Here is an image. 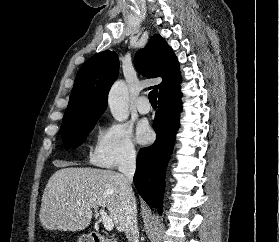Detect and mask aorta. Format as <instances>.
<instances>
[{
    "mask_svg": "<svg viewBox=\"0 0 279 242\" xmlns=\"http://www.w3.org/2000/svg\"><path fill=\"white\" fill-rule=\"evenodd\" d=\"M108 104L113 118L118 122L125 121L129 116V95L126 84L123 81H117L112 86Z\"/></svg>",
    "mask_w": 279,
    "mask_h": 242,
    "instance_id": "obj_1",
    "label": "aorta"
}]
</instances>
